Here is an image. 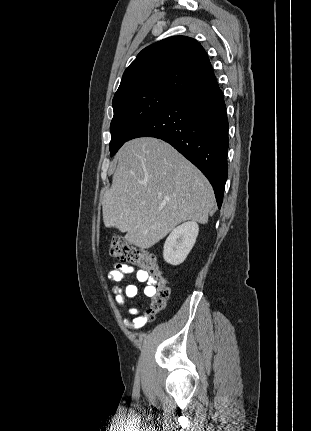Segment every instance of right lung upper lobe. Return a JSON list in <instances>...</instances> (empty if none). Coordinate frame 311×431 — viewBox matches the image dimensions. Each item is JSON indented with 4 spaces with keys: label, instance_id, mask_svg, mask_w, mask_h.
Returning a JSON list of instances; mask_svg holds the SVG:
<instances>
[{
    "label": "right lung upper lobe",
    "instance_id": "1",
    "mask_svg": "<svg viewBox=\"0 0 311 431\" xmlns=\"http://www.w3.org/2000/svg\"><path fill=\"white\" fill-rule=\"evenodd\" d=\"M215 80L204 48L193 38L173 36L137 55L125 70L115 96L146 88L181 95Z\"/></svg>",
    "mask_w": 311,
    "mask_h": 431
}]
</instances>
